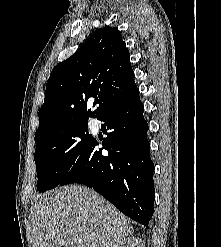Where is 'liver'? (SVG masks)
Masks as SVG:
<instances>
[{
    "instance_id": "1",
    "label": "liver",
    "mask_w": 221,
    "mask_h": 247,
    "mask_svg": "<svg viewBox=\"0 0 221 247\" xmlns=\"http://www.w3.org/2000/svg\"><path fill=\"white\" fill-rule=\"evenodd\" d=\"M32 247H112L134 232L114 205L85 186H65L36 199Z\"/></svg>"
}]
</instances>
